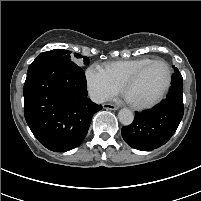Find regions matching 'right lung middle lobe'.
I'll list each match as a JSON object with an SVG mask.
<instances>
[{
    "label": "right lung middle lobe",
    "mask_w": 201,
    "mask_h": 201,
    "mask_svg": "<svg viewBox=\"0 0 201 201\" xmlns=\"http://www.w3.org/2000/svg\"><path fill=\"white\" fill-rule=\"evenodd\" d=\"M78 58L82 57L79 54H75ZM40 59H52L56 61H65V62H72L70 59V51L64 49H54L51 51L41 53L35 60ZM89 59L84 57V63L88 64Z\"/></svg>",
    "instance_id": "right-lung-middle-lobe-1"
}]
</instances>
